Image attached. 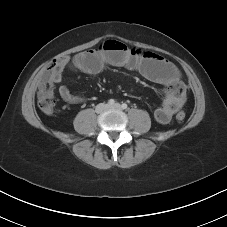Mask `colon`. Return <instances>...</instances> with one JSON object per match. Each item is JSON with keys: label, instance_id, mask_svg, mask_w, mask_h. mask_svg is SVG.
Segmentation results:
<instances>
[{"label": "colon", "instance_id": "colon-1", "mask_svg": "<svg viewBox=\"0 0 227 227\" xmlns=\"http://www.w3.org/2000/svg\"><path fill=\"white\" fill-rule=\"evenodd\" d=\"M60 61L61 59L54 60L51 65V69L57 66ZM38 107L43 113L47 115L52 114L54 111L55 97L53 92V83L49 78L43 81L39 86ZM175 118L179 123L184 122V120L186 119V112L183 109H179L176 112Z\"/></svg>", "mask_w": 227, "mask_h": 227}]
</instances>
